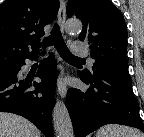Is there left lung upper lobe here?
<instances>
[{
    "label": "left lung upper lobe",
    "instance_id": "left-lung-upper-lobe-1",
    "mask_svg": "<svg viewBox=\"0 0 144 137\" xmlns=\"http://www.w3.org/2000/svg\"><path fill=\"white\" fill-rule=\"evenodd\" d=\"M76 14L82 21L81 41H88L91 58L95 59L92 73H81L91 78L97 72H108L131 79L127 69V27L124 17L110 0H69L67 16Z\"/></svg>",
    "mask_w": 144,
    "mask_h": 137
}]
</instances>
